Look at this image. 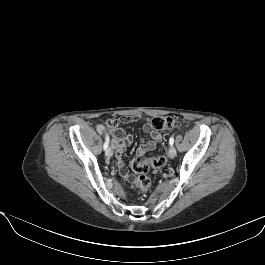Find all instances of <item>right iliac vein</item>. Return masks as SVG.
I'll return each mask as SVG.
<instances>
[{"label": "right iliac vein", "mask_w": 265, "mask_h": 265, "mask_svg": "<svg viewBox=\"0 0 265 265\" xmlns=\"http://www.w3.org/2000/svg\"><path fill=\"white\" fill-rule=\"evenodd\" d=\"M105 155L107 157H109V158L112 157V155H113V149L111 147H109L108 149H106Z\"/></svg>", "instance_id": "obj_1"}]
</instances>
